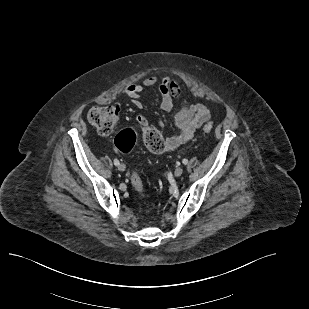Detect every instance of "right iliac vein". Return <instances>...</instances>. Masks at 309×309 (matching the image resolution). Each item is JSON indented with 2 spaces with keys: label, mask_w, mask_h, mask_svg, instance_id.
Returning <instances> with one entry per match:
<instances>
[{
  "label": "right iliac vein",
  "mask_w": 309,
  "mask_h": 309,
  "mask_svg": "<svg viewBox=\"0 0 309 309\" xmlns=\"http://www.w3.org/2000/svg\"><path fill=\"white\" fill-rule=\"evenodd\" d=\"M118 170H120V171H125V170H126L125 164H123V163L119 164V165H118Z\"/></svg>",
  "instance_id": "obj_1"
}]
</instances>
